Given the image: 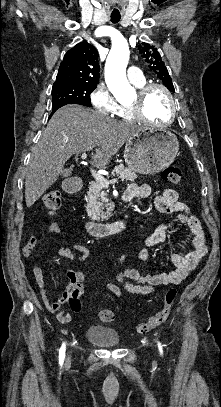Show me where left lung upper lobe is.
Masks as SVG:
<instances>
[{
    "label": "left lung upper lobe",
    "instance_id": "1",
    "mask_svg": "<svg viewBox=\"0 0 221 407\" xmlns=\"http://www.w3.org/2000/svg\"><path fill=\"white\" fill-rule=\"evenodd\" d=\"M138 49L148 67L157 74L170 91L174 92L172 79L157 49L144 42L138 46Z\"/></svg>",
    "mask_w": 221,
    "mask_h": 407
}]
</instances>
